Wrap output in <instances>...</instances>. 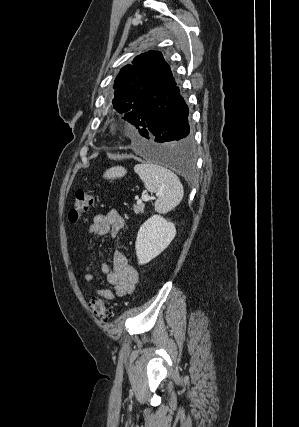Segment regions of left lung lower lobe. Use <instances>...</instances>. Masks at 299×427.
<instances>
[{"label": "left lung lower lobe", "mask_w": 299, "mask_h": 427, "mask_svg": "<svg viewBox=\"0 0 299 427\" xmlns=\"http://www.w3.org/2000/svg\"><path fill=\"white\" fill-rule=\"evenodd\" d=\"M149 142L139 150L153 161L180 172H190L193 135L188 123V107L177 86L159 102L140 108L133 124Z\"/></svg>", "instance_id": "1"}]
</instances>
